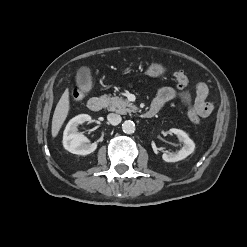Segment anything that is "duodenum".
I'll list each match as a JSON object with an SVG mask.
<instances>
[{"label":"duodenum","mask_w":247,"mask_h":247,"mask_svg":"<svg viewBox=\"0 0 247 247\" xmlns=\"http://www.w3.org/2000/svg\"><path fill=\"white\" fill-rule=\"evenodd\" d=\"M106 106V99L104 97H92L88 101V108L93 112H100ZM154 109H147L142 113V117L145 119H150L156 115Z\"/></svg>","instance_id":"410a0bca"}]
</instances>
